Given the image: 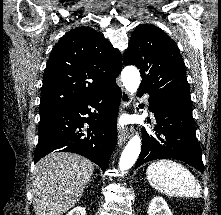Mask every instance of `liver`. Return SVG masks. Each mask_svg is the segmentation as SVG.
<instances>
[{
  "label": "liver",
  "mask_w": 221,
  "mask_h": 215,
  "mask_svg": "<svg viewBox=\"0 0 221 215\" xmlns=\"http://www.w3.org/2000/svg\"><path fill=\"white\" fill-rule=\"evenodd\" d=\"M94 164L77 154L55 152L38 161L32 178L36 215H62L74 207L93 175Z\"/></svg>",
  "instance_id": "liver-1"
}]
</instances>
